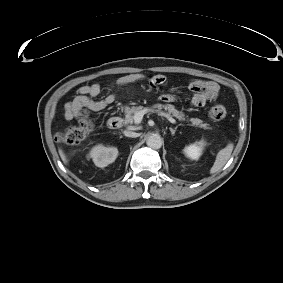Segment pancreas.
I'll return each mask as SVG.
<instances>
[{
  "instance_id": "pancreas-1",
  "label": "pancreas",
  "mask_w": 283,
  "mask_h": 283,
  "mask_svg": "<svg viewBox=\"0 0 283 283\" xmlns=\"http://www.w3.org/2000/svg\"><path fill=\"white\" fill-rule=\"evenodd\" d=\"M144 109L143 107H131V108H126V115H125V123L126 124H132L133 122V116L136 112L140 111ZM162 109H164L166 111L165 114H168V115H172L174 116L175 118H177L178 120L180 121H183L185 120V115L182 111H178L174 105H171V104H166V105H162V104H154L152 107H151V111H156V112H159L161 113ZM189 121L193 124V125H196L200 128H204V129H208L209 128V125L206 124V123H203L202 120L200 119H197V118H191L189 119Z\"/></svg>"
}]
</instances>
